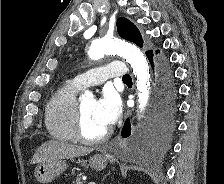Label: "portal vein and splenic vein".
<instances>
[{"label": "portal vein and splenic vein", "mask_w": 224, "mask_h": 184, "mask_svg": "<svg viewBox=\"0 0 224 184\" xmlns=\"http://www.w3.org/2000/svg\"><path fill=\"white\" fill-rule=\"evenodd\" d=\"M88 184H95V182H89Z\"/></svg>", "instance_id": "obj_1"}]
</instances>
